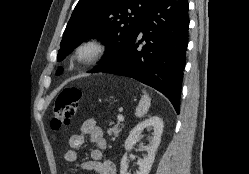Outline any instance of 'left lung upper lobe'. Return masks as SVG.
I'll list each match as a JSON object with an SVG mask.
<instances>
[{
  "label": "left lung upper lobe",
  "instance_id": "5c2ea615",
  "mask_svg": "<svg viewBox=\"0 0 249 174\" xmlns=\"http://www.w3.org/2000/svg\"><path fill=\"white\" fill-rule=\"evenodd\" d=\"M153 2L154 0H80L64 31L58 61L82 42L98 37L106 45V51L95 69L112 66L138 34ZM59 69L57 74L62 72V68Z\"/></svg>",
  "mask_w": 249,
  "mask_h": 174
}]
</instances>
